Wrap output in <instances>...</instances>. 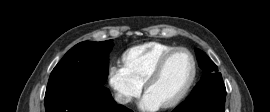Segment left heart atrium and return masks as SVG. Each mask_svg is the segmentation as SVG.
<instances>
[{"instance_id": "obj_1", "label": "left heart atrium", "mask_w": 270, "mask_h": 112, "mask_svg": "<svg viewBox=\"0 0 270 112\" xmlns=\"http://www.w3.org/2000/svg\"><path fill=\"white\" fill-rule=\"evenodd\" d=\"M139 107L147 111H155L162 107V104L150 93L146 92L139 103Z\"/></svg>"}]
</instances>
